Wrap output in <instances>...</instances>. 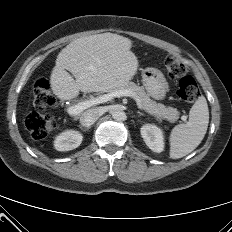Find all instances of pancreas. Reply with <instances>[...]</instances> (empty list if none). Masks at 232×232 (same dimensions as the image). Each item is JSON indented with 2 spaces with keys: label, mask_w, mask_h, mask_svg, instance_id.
Segmentation results:
<instances>
[{
  "label": "pancreas",
  "mask_w": 232,
  "mask_h": 232,
  "mask_svg": "<svg viewBox=\"0 0 232 232\" xmlns=\"http://www.w3.org/2000/svg\"><path fill=\"white\" fill-rule=\"evenodd\" d=\"M125 89L132 91L139 97L143 110L150 115L156 117L159 120L165 119L171 123H174L178 120L179 112L177 109L166 107L163 104L156 103L155 101L151 100L149 95L145 92L144 88L136 85L133 82H127L118 88L110 90L109 92L112 93Z\"/></svg>",
  "instance_id": "obj_1"
}]
</instances>
